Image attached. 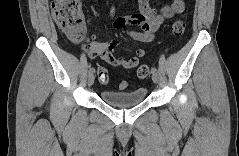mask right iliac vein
I'll use <instances>...</instances> for the list:
<instances>
[{
  "label": "right iliac vein",
  "mask_w": 239,
  "mask_h": 156,
  "mask_svg": "<svg viewBox=\"0 0 239 156\" xmlns=\"http://www.w3.org/2000/svg\"><path fill=\"white\" fill-rule=\"evenodd\" d=\"M94 80H95L94 74H93V73H92V74H89V75H88V78H87V84H88V86H91V85L94 83Z\"/></svg>",
  "instance_id": "obj_1"
}]
</instances>
